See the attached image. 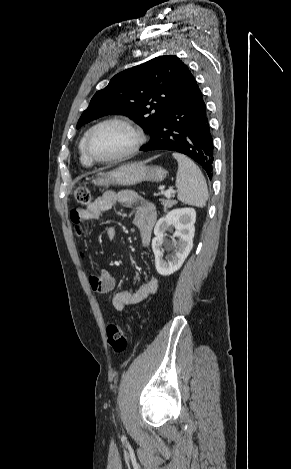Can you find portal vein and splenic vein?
Instances as JSON below:
<instances>
[{"instance_id":"1","label":"portal vein and splenic vein","mask_w":291,"mask_h":469,"mask_svg":"<svg viewBox=\"0 0 291 469\" xmlns=\"http://www.w3.org/2000/svg\"><path fill=\"white\" fill-rule=\"evenodd\" d=\"M162 193H163L166 197L169 198V197H171V194L174 193V190L171 188V189H169V190L163 191Z\"/></svg>"}]
</instances>
